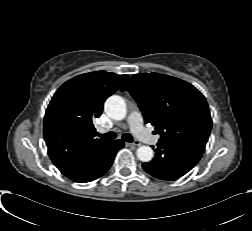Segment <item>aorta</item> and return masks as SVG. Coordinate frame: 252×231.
<instances>
[{
  "label": "aorta",
  "mask_w": 252,
  "mask_h": 231,
  "mask_svg": "<svg viewBox=\"0 0 252 231\" xmlns=\"http://www.w3.org/2000/svg\"><path fill=\"white\" fill-rule=\"evenodd\" d=\"M106 114L114 120H123L127 109L124 99L118 95L109 97L104 105ZM137 158L142 162H150L153 158V150L149 146H140L136 151Z\"/></svg>",
  "instance_id": "762f6f07"
}]
</instances>
